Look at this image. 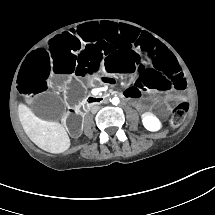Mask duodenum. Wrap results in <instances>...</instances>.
Masks as SVG:
<instances>
[{"instance_id":"1","label":"duodenum","mask_w":215,"mask_h":215,"mask_svg":"<svg viewBox=\"0 0 215 215\" xmlns=\"http://www.w3.org/2000/svg\"><path fill=\"white\" fill-rule=\"evenodd\" d=\"M108 94H100L96 96H90L86 99L85 105H99L102 104L106 98H108ZM73 113H79L80 110L77 108L71 109Z\"/></svg>"}]
</instances>
